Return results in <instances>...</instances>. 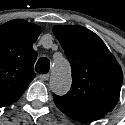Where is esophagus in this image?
<instances>
[{
	"mask_svg": "<svg viewBox=\"0 0 125 125\" xmlns=\"http://www.w3.org/2000/svg\"><path fill=\"white\" fill-rule=\"evenodd\" d=\"M49 74H41L39 75V79L42 81H47L49 79Z\"/></svg>",
	"mask_w": 125,
	"mask_h": 125,
	"instance_id": "34e87169",
	"label": "esophagus"
}]
</instances>
